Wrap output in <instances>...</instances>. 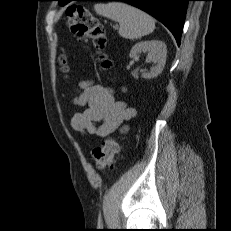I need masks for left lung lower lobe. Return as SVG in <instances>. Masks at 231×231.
<instances>
[{"label":"left lung lower lobe","instance_id":"left-lung-lower-lobe-1","mask_svg":"<svg viewBox=\"0 0 231 231\" xmlns=\"http://www.w3.org/2000/svg\"><path fill=\"white\" fill-rule=\"evenodd\" d=\"M70 1L64 0L62 6ZM84 1H123L149 13L162 22L174 35L180 45L186 9L190 0H84Z\"/></svg>","mask_w":231,"mask_h":231}]
</instances>
